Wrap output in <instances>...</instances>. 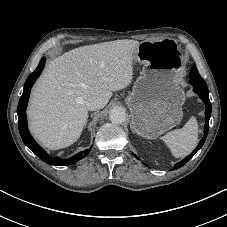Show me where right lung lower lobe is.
I'll return each mask as SVG.
<instances>
[{"instance_id": "obj_1", "label": "right lung lower lobe", "mask_w": 227, "mask_h": 227, "mask_svg": "<svg viewBox=\"0 0 227 227\" xmlns=\"http://www.w3.org/2000/svg\"><path fill=\"white\" fill-rule=\"evenodd\" d=\"M45 61L46 58L43 57L36 70L27 78L25 82L23 94L19 100L17 108L19 132L25 145L29 147L42 161L50 165H71L88 155L89 150L79 152L67 160H62L58 157H51L35 142L27 127L26 107L29 100V94L34 82L39 77L45 66Z\"/></svg>"}]
</instances>
